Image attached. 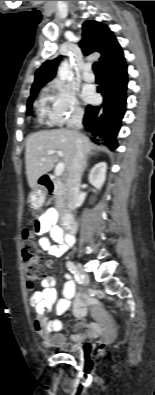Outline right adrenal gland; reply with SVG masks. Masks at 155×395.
<instances>
[{
	"mask_svg": "<svg viewBox=\"0 0 155 395\" xmlns=\"http://www.w3.org/2000/svg\"><path fill=\"white\" fill-rule=\"evenodd\" d=\"M87 157L84 160V164H83V169H82V174L84 173L85 169L87 168Z\"/></svg>",
	"mask_w": 155,
	"mask_h": 395,
	"instance_id": "1",
	"label": "right adrenal gland"
}]
</instances>
